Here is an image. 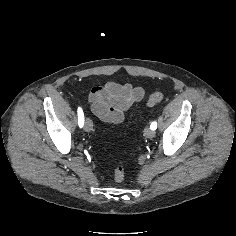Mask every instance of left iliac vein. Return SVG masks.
<instances>
[{
	"label": "left iliac vein",
	"mask_w": 236,
	"mask_h": 236,
	"mask_svg": "<svg viewBox=\"0 0 236 236\" xmlns=\"http://www.w3.org/2000/svg\"><path fill=\"white\" fill-rule=\"evenodd\" d=\"M144 135H145V137L151 139L155 136V131L152 130L151 128L147 127L144 130Z\"/></svg>",
	"instance_id": "1"
}]
</instances>
